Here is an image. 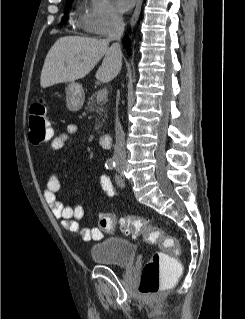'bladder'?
<instances>
[{"label":"bladder","mask_w":245,"mask_h":319,"mask_svg":"<svg viewBox=\"0 0 245 319\" xmlns=\"http://www.w3.org/2000/svg\"><path fill=\"white\" fill-rule=\"evenodd\" d=\"M90 255L96 263L127 267L134 263L136 245L124 238H102L90 248Z\"/></svg>","instance_id":"bladder-1"}]
</instances>
